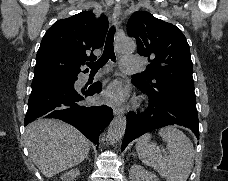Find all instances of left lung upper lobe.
<instances>
[{
  "label": "left lung upper lobe",
  "mask_w": 228,
  "mask_h": 181,
  "mask_svg": "<svg viewBox=\"0 0 228 181\" xmlns=\"http://www.w3.org/2000/svg\"><path fill=\"white\" fill-rule=\"evenodd\" d=\"M127 33L136 38L138 53L149 60L144 71L132 76L134 85L196 101L190 48L178 27L138 11L130 17Z\"/></svg>",
  "instance_id": "1"
}]
</instances>
